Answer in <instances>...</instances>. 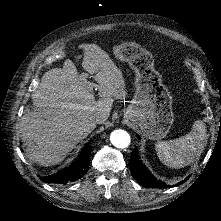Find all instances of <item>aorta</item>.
Returning a JSON list of instances; mask_svg holds the SVG:
<instances>
[{"label":"aorta","mask_w":221,"mask_h":221,"mask_svg":"<svg viewBox=\"0 0 221 221\" xmlns=\"http://www.w3.org/2000/svg\"><path fill=\"white\" fill-rule=\"evenodd\" d=\"M110 141L118 149L127 148L130 145V135L122 130H114L110 135Z\"/></svg>","instance_id":"1"}]
</instances>
